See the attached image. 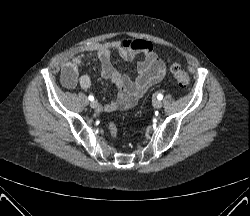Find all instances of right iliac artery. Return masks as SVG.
<instances>
[{
    "label": "right iliac artery",
    "instance_id": "82829eb1",
    "mask_svg": "<svg viewBox=\"0 0 250 216\" xmlns=\"http://www.w3.org/2000/svg\"><path fill=\"white\" fill-rule=\"evenodd\" d=\"M88 99H89L90 101H93V100H94V97H93L92 95H90V96L88 97Z\"/></svg>",
    "mask_w": 250,
    "mask_h": 216
}]
</instances>
